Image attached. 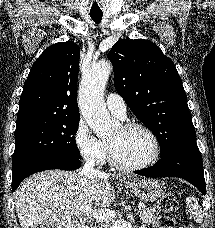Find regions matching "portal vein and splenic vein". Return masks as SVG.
<instances>
[{
  "label": "portal vein and splenic vein",
  "mask_w": 215,
  "mask_h": 228,
  "mask_svg": "<svg viewBox=\"0 0 215 228\" xmlns=\"http://www.w3.org/2000/svg\"><path fill=\"white\" fill-rule=\"evenodd\" d=\"M144 204H139L138 210H144ZM82 216H86V218H95V220H99V222H108V220H113L116 214L112 212V210H84L81 212Z\"/></svg>",
  "instance_id": "1"
}]
</instances>
